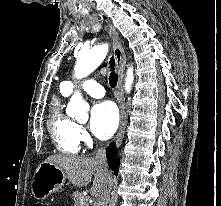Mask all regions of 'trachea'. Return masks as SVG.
<instances>
[{
  "mask_svg": "<svg viewBox=\"0 0 221 206\" xmlns=\"http://www.w3.org/2000/svg\"><path fill=\"white\" fill-rule=\"evenodd\" d=\"M109 69H110L109 84H110V86L112 88H114L117 85V81H118V75L115 72V60H114V57L110 58Z\"/></svg>",
  "mask_w": 221,
  "mask_h": 206,
  "instance_id": "trachea-1",
  "label": "trachea"
}]
</instances>
